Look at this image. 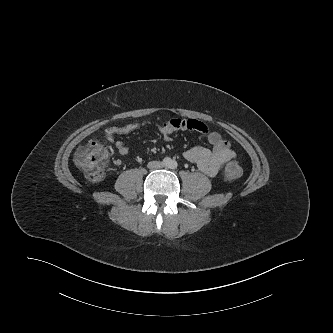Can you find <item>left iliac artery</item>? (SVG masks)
<instances>
[{
  "mask_svg": "<svg viewBox=\"0 0 333 333\" xmlns=\"http://www.w3.org/2000/svg\"><path fill=\"white\" fill-rule=\"evenodd\" d=\"M178 166L177 162L176 161H172L171 164H170V168L171 169H176Z\"/></svg>",
  "mask_w": 333,
  "mask_h": 333,
  "instance_id": "44dca946",
  "label": "left iliac artery"
}]
</instances>
